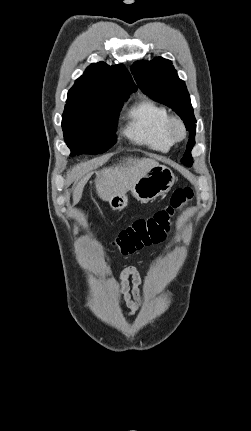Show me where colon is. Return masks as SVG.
<instances>
[{"label":"colon","mask_w":251,"mask_h":431,"mask_svg":"<svg viewBox=\"0 0 251 431\" xmlns=\"http://www.w3.org/2000/svg\"><path fill=\"white\" fill-rule=\"evenodd\" d=\"M192 197L193 190L190 187L176 189L166 207L148 218L134 221L121 230L113 245L123 256H127L143 247L161 243L171 230L173 218Z\"/></svg>","instance_id":"1"}]
</instances>
